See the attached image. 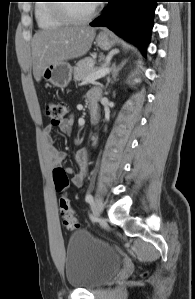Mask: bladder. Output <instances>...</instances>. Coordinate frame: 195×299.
I'll return each instance as SVG.
<instances>
[{"label": "bladder", "mask_w": 195, "mask_h": 299, "mask_svg": "<svg viewBox=\"0 0 195 299\" xmlns=\"http://www.w3.org/2000/svg\"><path fill=\"white\" fill-rule=\"evenodd\" d=\"M120 268V258L107 243L79 230L66 245L65 277L79 289H95Z\"/></svg>", "instance_id": "31cf9c89"}]
</instances>
